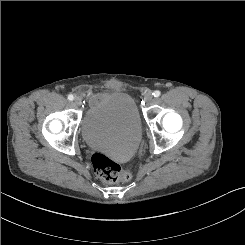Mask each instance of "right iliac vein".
Masks as SVG:
<instances>
[{
    "label": "right iliac vein",
    "mask_w": 245,
    "mask_h": 245,
    "mask_svg": "<svg viewBox=\"0 0 245 245\" xmlns=\"http://www.w3.org/2000/svg\"><path fill=\"white\" fill-rule=\"evenodd\" d=\"M80 103H81V99H80L79 97H76V98L74 99V104H75V105H80Z\"/></svg>",
    "instance_id": "1"
}]
</instances>
